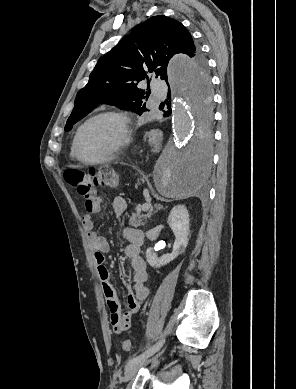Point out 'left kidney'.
<instances>
[{"mask_svg": "<svg viewBox=\"0 0 296 389\" xmlns=\"http://www.w3.org/2000/svg\"><path fill=\"white\" fill-rule=\"evenodd\" d=\"M168 224L175 235L172 253L158 257L152 248H148L146 251V260L154 268H160L173 261L178 255L185 252L188 245L189 214L184 205L173 207L168 217Z\"/></svg>", "mask_w": 296, "mask_h": 389, "instance_id": "obj_1", "label": "left kidney"}]
</instances>
